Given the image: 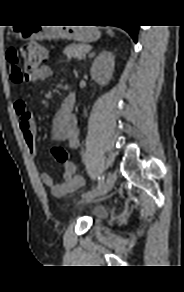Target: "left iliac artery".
I'll return each mask as SVG.
<instances>
[{
  "mask_svg": "<svg viewBox=\"0 0 184 292\" xmlns=\"http://www.w3.org/2000/svg\"><path fill=\"white\" fill-rule=\"evenodd\" d=\"M98 179H99L98 185L95 188H93L91 191H88L82 194V197L86 198L90 196L91 194L95 193L96 191H98L102 187V185L104 184V176H100Z\"/></svg>",
  "mask_w": 184,
  "mask_h": 292,
  "instance_id": "1",
  "label": "left iliac artery"
}]
</instances>
